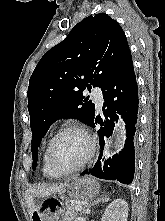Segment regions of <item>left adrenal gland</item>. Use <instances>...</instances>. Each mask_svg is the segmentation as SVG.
Masks as SVG:
<instances>
[{"instance_id": "left-adrenal-gland-1", "label": "left adrenal gland", "mask_w": 165, "mask_h": 221, "mask_svg": "<svg viewBox=\"0 0 165 221\" xmlns=\"http://www.w3.org/2000/svg\"><path fill=\"white\" fill-rule=\"evenodd\" d=\"M101 201H103V199H97L94 203L86 205L83 209V212H85L86 210L88 211L90 207L99 204Z\"/></svg>"}]
</instances>
